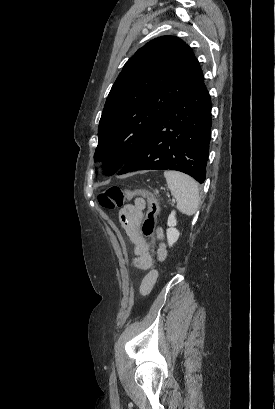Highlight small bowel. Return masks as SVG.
<instances>
[{
    "label": "small bowel",
    "instance_id": "1",
    "mask_svg": "<svg viewBox=\"0 0 275 409\" xmlns=\"http://www.w3.org/2000/svg\"><path fill=\"white\" fill-rule=\"evenodd\" d=\"M146 202L143 198H136L133 203L124 206L119 213L120 222L125 229L134 252V265L139 270H149L153 265V258L149 251V245L141 233V224L144 217ZM167 256V249L164 243L159 249L158 258L164 260ZM152 271V270H151ZM151 271L143 278L140 285V293L150 292L156 278L151 277Z\"/></svg>",
    "mask_w": 275,
    "mask_h": 409
}]
</instances>
